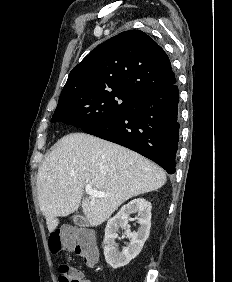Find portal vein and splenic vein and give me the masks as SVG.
<instances>
[{"label": "portal vein and splenic vein", "instance_id": "1", "mask_svg": "<svg viewBox=\"0 0 232 282\" xmlns=\"http://www.w3.org/2000/svg\"><path fill=\"white\" fill-rule=\"evenodd\" d=\"M85 192L90 197H105V196H107V194L105 192L97 191V190L93 189L92 186H90V185H86Z\"/></svg>", "mask_w": 232, "mask_h": 282}]
</instances>
